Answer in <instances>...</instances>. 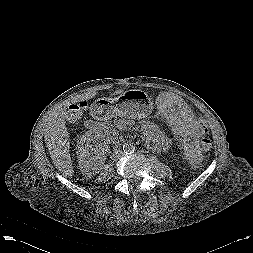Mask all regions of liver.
<instances>
[{
  "label": "liver",
  "mask_w": 253,
  "mask_h": 253,
  "mask_svg": "<svg viewBox=\"0 0 253 253\" xmlns=\"http://www.w3.org/2000/svg\"><path fill=\"white\" fill-rule=\"evenodd\" d=\"M125 91L116 90L113 95H121ZM97 94L96 91H89L84 94L77 95L71 99L72 103H79L92 99ZM165 93H162L163 95ZM160 95V96H161ZM159 96V97H160ZM158 97V98H159ZM45 141L49 149L50 157L54 166L60 173L65 176H73V165L69 154V133L65 126L64 106H59L49 116L45 128Z\"/></svg>",
  "instance_id": "1"
}]
</instances>
